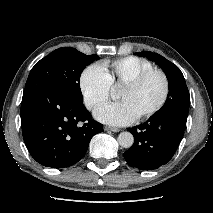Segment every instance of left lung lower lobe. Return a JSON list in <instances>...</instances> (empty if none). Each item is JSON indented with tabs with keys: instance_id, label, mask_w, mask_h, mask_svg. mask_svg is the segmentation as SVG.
I'll use <instances>...</instances> for the list:
<instances>
[{
	"instance_id": "obj_1",
	"label": "left lung lower lobe",
	"mask_w": 213,
	"mask_h": 213,
	"mask_svg": "<svg viewBox=\"0 0 213 213\" xmlns=\"http://www.w3.org/2000/svg\"><path fill=\"white\" fill-rule=\"evenodd\" d=\"M187 117L176 111L163 112L127 129L135 140L124 153L126 162L139 170H153L168 163L183 137Z\"/></svg>"
}]
</instances>
